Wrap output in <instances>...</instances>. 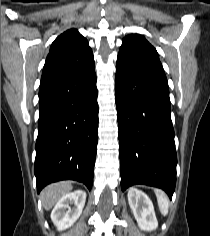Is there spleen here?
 Masks as SVG:
<instances>
[{"label": "spleen", "instance_id": "3e777b00", "mask_svg": "<svg viewBox=\"0 0 210 236\" xmlns=\"http://www.w3.org/2000/svg\"><path fill=\"white\" fill-rule=\"evenodd\" d=\"M155 194L157 197V202H158V206L160 209V212L163 215H167L168 214V210H169V200L168 197L166 196L165 193L159 191V190H155Z\"/></svg>", "mask_w": 210, "mask_h": 236}]
</instances>
